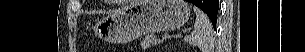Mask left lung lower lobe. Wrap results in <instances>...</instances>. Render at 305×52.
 Returning a JSON list of instances; mask_svg holds the SVG:
<instances>
[{"label": "left lung lower lobe", "instance_id": "left-lung-lower-lobe-1", "mask_svg": "<svg viewBox=\"0 0 305 52\" xmlns=\"http://www.w3.org/2000/svg\"><path fill=\"white\" fill-rule=\"evenodd\" d=\"M188 1L196 6L200 7L204 12L207 8L208 9H218V0H188ZM213 27L216 28V23L213 24Z\"/></svg>", "mask_w": 305, "mask_h": 52}]
</instances>
